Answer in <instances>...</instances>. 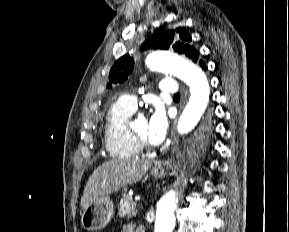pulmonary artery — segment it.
<instances>
[{
	"mask_svg": "<svg viewBox=\"0 0 289 232\" xmlns=\"http://www.w3.org/2000/svg\"><path fill=\"white\" fill-rule=\"evenodd\" d=\"M159 90L165 94H176L178 92V84L172 78H164L159 83ZM120 99L132 110L136 109L137 99L135 96L124 95Z\"/></svg>",
	"mask_w": 289,
	"mask_h": 232,
	"instance_id": "obj_1",
	"label": "pulmonary artery"
}]
</instances>
